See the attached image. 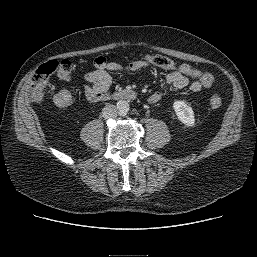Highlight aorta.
<instances>
[{
    "mask_svg": "<svg viewBox=\"0 0 257 257\" xmlns=\"http://www.w3.org/2000/svg\"><path fill=\"white\" fill-rule=\"evenodd\" d=\"M116 108H117L119 114H126L130 109V105L127 101L120 100V101L117 102V107Z\"/></svg>",
    "mask_w": 257,
    "mask_h": 257,
    "instance_id": "762f6f07",
    "label": "aorta"
}]
</instances>
